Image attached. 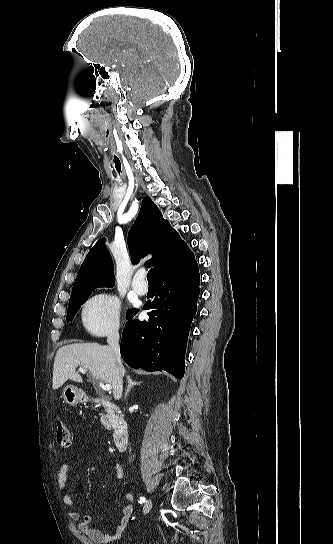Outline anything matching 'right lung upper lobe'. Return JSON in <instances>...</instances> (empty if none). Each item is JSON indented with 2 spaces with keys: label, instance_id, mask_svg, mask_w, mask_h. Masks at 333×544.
Instances as JSON below:
<instances>
[{
  "label": "right lung upper lobe",
  "instance_id": "1",
  "mask_svg": "<svg viewBox=\"0 0 333 544\" xmlns=\"http://www.w3.org/2000/svg\"><path fill=\"white\" fill-rule=\"evenodd\" d=\"M128 245L134 260L153 254L147 264L154 266L157 278L195 262L193 253L169 222L164 220L160 210L149 197L142 201L138 217L129 232ZM113 285L112 258L103 238L85 257L70 297L94 290L96 287Z\"/></svg>",
  "mask_w": 333,
  "mask_h": 544
}]
</instances>
